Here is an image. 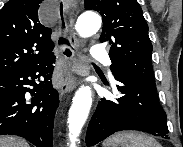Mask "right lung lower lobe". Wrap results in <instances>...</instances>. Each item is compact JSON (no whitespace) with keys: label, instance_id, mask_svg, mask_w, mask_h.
I'll return each instance as SVG.
<instances>
[{"label":"right lung lower lobe","instance_id":"98d812e1","mask_svg":"<svg viewBox=\"0 0 183 147\" xmlns=\"http://www.w3.org/2000/svg\"><path fill=\"white\" fill-rule=\"evenodd\" d=\"M53 63L54 56L0 78V135H17L36 147H52L54 117L59 104L58 92L50 81ZM40 76L44 80L37 84L35 79ZM26 92H30L31 101L25 98Z\"/></svg>","mask_w":183,"mask_h":147}]
</instances>
